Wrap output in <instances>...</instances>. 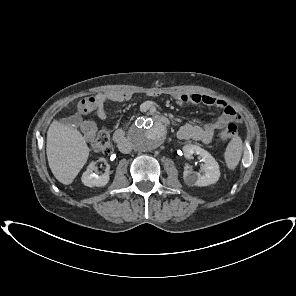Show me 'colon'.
<instances>
[{
  "label": "colon",
  "instance_id": "colon-1",
  "mask_svg": "<svg viewBox=\"0 0 296 296\" xmlns=\"http://www.w3.org/2000/svg\"><path fill=\"white\" fill-rule=\"evenodd\" d=\"M238 133V127L235 123H230L227 127L219 133L221 140H229L235 137ZM92 148L95 152L108 155L112 151V144L110 140V133L106 129H102L97 134V137L92 143Z\"/></svg>",
  "mask_w": 296,
  "mask_h": 296
}]
</instances>
